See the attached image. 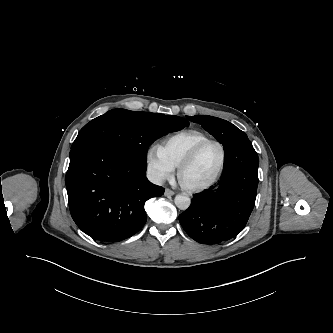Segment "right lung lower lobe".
I'll use <instances>...</instances> for the list:
<instances>
[{
    "label": "right lung lower lobe",
    "mask_w": 333,
    "mask_h": 333,
    "mask_svg": "<svg viewBox=\"0 0 333 333\" xmlns=\"http://www.w3.org/2000/svg\"><path fill=\"white\" fill-rule=\"evenodd\" d=\"M147 164L95 142L71 147L65 183L77 226L94 239L117 242L145 224V202L164 188L150 183Z\"/></svg>",
    "instance_id": "obj_1"
}]
</instances>
